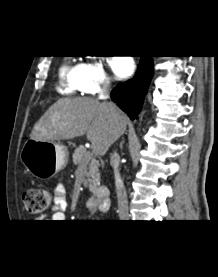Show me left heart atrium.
<instances>
[{"mask_svg": "<svg viewBox=\"0 0 218 277\" xmlns=\"http://www.w3.org/2000/svg\"><path fill=\"white\" fill-rule=\"evenodd\" d=\"M109 65L116 77L122 78L126 76L131 68L132 62L128 58L124 57H112L109 60Z\"/></svg>", "mask_w": 218, "mask_h": 277, "instance_id": "obj_1", "label": "left heart atrium"}]
</instances>
